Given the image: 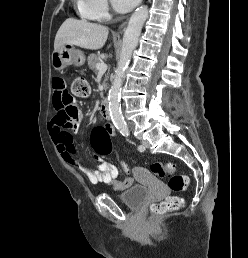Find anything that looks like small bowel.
Segmentation results:
<instances>
[{"instance_id": "small-bowel-1", "label": "small bowel", "mask_w": 248, "mask_h": 258, "mask_svg": "<svg viewBox=\"0 0 248 258\" xmlns=\"http://www.w3.org/2000/svg\"><path fill=\"white\" fill-rule=\"evenodd\" d=\"M52 89V105L55 115L49 123V130L55 144L57 145L58 151L62 155L65 162L77 167L93 185H109L114 190L119 191L129 188L133 183V179L131 177H127L124 180H116L118 170L112 163L97 157V167L92 169L85 166L77 159L76 149L71 136V130H78L81 115L77 112L71 120L70 127H63L56 116L57 114H62L68 111L69 108L73 107V98L65 88L63 78H53ZM105 127L109 132L113 131L110 125H106Z\"/></svg>"}]
</instances>
